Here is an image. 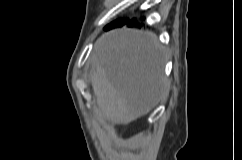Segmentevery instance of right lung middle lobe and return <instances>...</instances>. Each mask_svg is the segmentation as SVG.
<instances>
[{
	"label": "right lung middle lobe",
	"instance_id": "1",
	"mask_svg": "<svg viewBox=\"0 0 242 160\" xmlns=\"http://www.w3.org/2000/svg\"><path fill=\"white\" fill-rule=\"evenodd\" d=\"M121 21H123V20H116V21L110 23L109 25H107L105 28H107V27H111V26H113V25H115V24H117V23H119V22H121Z\"/></svg>",
	"mask_w": 242,
	"mask_h": 160
}]
</instances>
